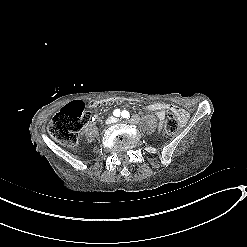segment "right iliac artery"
<instances>
[{
	"mask_svg": "<svg viewBox=\"0 0 247 247\" xmlns=\"http://www.w3.org/2000/svg\"><path fill=\"white\" fill-rule=\"evenodd\" d=\"M113 115L116 116V117H119L120 110L119 109L114 110Z\"/></svg>",
	"mask_w": 247,
	"mask_h": 247,
	"instance_id": "right-iliac-artery-1",
	"label": "right iliac artery"
}]
</instances>
